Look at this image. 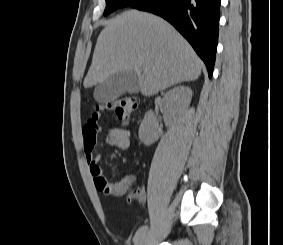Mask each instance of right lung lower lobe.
<instances>
[{
	"mask_svg": "<svg viewBox=\"0 0 283 245\" xmlns=\"http://www.w3.org/2000/svg\"><path fill=\"white\" fill-rule=\"evenodd\" d=\"M221 0H140L130 6L169 21L192 45L212 76Z\"/></svg>",
	"mask_w": 283,
	"mask_h": 245,
	"instance_id": "98d812e1",
	"label": "right lung lower lobe"
}]
</instances>
